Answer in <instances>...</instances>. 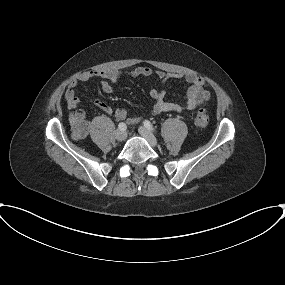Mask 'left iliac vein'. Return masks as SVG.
<instances>
[{"label":"left iliac vein","instance_id":"obj_1","mask_svg":"<svg viewBox=\"0 0 285 285\" xmlns=\"http://www.w3.org/2000/svg\"><path fill=\"white\" fill-rule=\"evenodd\" d=\"M138 131L140 135L144 137L152 147L157 146V139L148 129L143 126H140Z\"/></svg>","mask_w":285,"mask_h":285}]
</instances>
